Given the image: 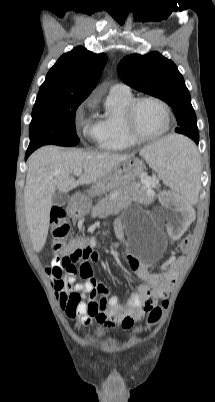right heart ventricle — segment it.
I'll return each mask as SVG.
<instances>
[{"label": "right heart ventricle", "mask_w": 215, "mask_h": 402, "mask_svg": "<svg viewBox=\"0 0 215 402\" xmlns=\"http://www.w3.org/2000/svg\"><path fill=\"white\" fill-rule=\"evenodd\" d=\"M134 99L131 91H110L105 106V112L98 121V146L103 150L118 151L130 148L136 144L124 127V111Z\"/></svg>", "instance_id": "obj_1"}]
</instances>
